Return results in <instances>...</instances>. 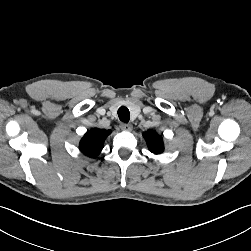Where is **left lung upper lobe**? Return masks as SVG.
<instances>
[{
  "instance_id": "1",
  "label": "left lung upper lobe",
  "mask_w": 251,
  "mask_h": 251,
  "mask_svg": "<svg viewBox=\"0 0 251 251\" xmlns=\"http://www.w3.org/2000/svg\"><path fill=\"white\" fill-rule=\"evenodd\" d=\"M149 150L154 154H160L164 150L162 137L155 131L149 130L143 133Z\"/></svg>"
}]
</instances>
